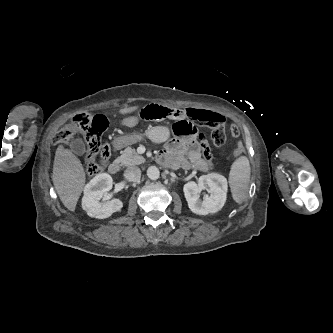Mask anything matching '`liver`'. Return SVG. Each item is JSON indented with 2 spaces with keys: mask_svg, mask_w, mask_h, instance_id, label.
<instances>
[{
  "mask_svg": "<svg viewBox=\"0 0 333 333\" xmlns=\"http://www.w3.org/2000/svg\"><path fill=\"white\" fill-rule=\"evenodd\" d=\"M138 106L120 109L121 114L131 113ZM85 172L81 161L71 150L59 146L55 153L52 180L64 206L74 211L85 184Z\"/></svg>",
  "mask_w": 333,
  "mask_h": 333,
  "instance_id": "6515ba94",
  "label": "liver"
}]
</instances>
